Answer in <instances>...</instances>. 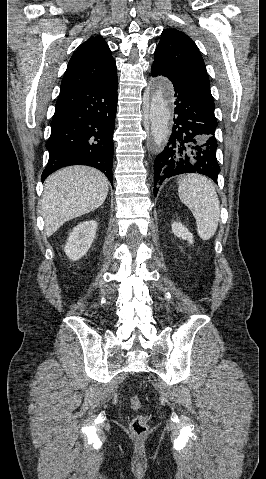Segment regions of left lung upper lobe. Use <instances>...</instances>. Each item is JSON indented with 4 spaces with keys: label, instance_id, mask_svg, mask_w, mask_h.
<instances>
[{
    "label": "left lung upper lobe",
    "instance_id": "1",
    "mask_svg": "<svg viewBox=\"0 0 266 479\" xmlns=\"http://www.w3.org/2000/svg\"><path fill=\"white\" fill-rule=\"evenodd\" d=\"M172 81L179 82L213 102L203 58L194 41L176 29H165L152 65Z\"/></svg>",
    "mask_w": 266,
    "mask_h": 479
}]
</instances>
